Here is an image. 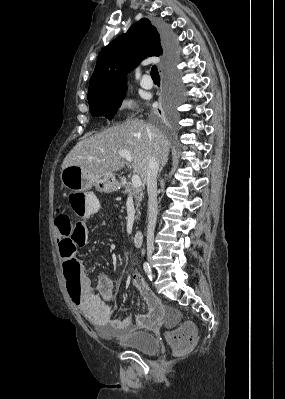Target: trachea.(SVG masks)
<instances>
[{
	"label": "trachea",
	"instance_id": "1",
	"mask_svg": "<svg viewBox=\"0 0 285 399\" xmlns=\"http://www.w3.org/2000/svg\"><path fill=\"white\" fill-rule=\"evenodd\" d=\"M150 75H151V78H152L153 80H160V76H159V73H158V69H157V67H156L155 65L152 66Z\"/></svg>",
	"mask_w": 285,
	"mask_h": 399
}]
</instances>
